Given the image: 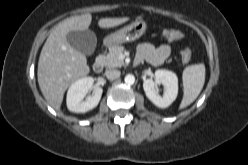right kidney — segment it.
Masks as SVG:
<instances>
[{"label": "right kidney", "mask_w": 248, "mask_h": 165, "mask_svg": "<svg viewBox=\"0 0 248 165\" xmlns=\"http://www.w3.org/2000/svg\"><path fill=\"white\" fill-rule=\"evenodd\" d=\"M94 79L92 77H84L76 80L68 89L67 92V108L74 113H85L94 109L102 96V88L96 87L93 89L92 96L84 97L88 91L93 87Z\"/></svg>", "instance_id": "ca27d5eb"}]
</instances>
